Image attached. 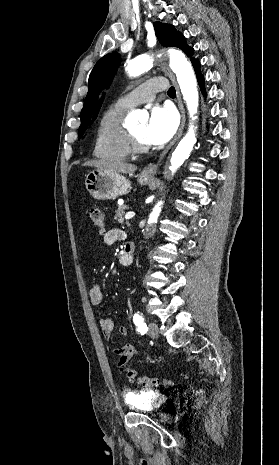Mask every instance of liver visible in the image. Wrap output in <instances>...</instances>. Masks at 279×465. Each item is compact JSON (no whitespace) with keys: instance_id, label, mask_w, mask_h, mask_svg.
I'll return each instance as SVG.
<instances>
[{"instance_id":"6515ba94","label":"liver","mask_w":279,"mask_h":465,"mask_svg":"<svg viewBox=\"0 0 279 465\" xmlns=\"http://www.w3.org/2000/svg\"><path fill=\"white\" fill-rule=\"evenodd\" d=\"M84 166L96 167L99 171L111 173H133L137 170L136 165L122 161L93 160L83 164Z\"/></svg>"}]
</instances>
